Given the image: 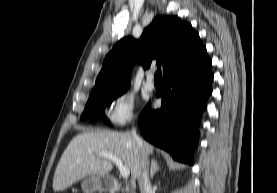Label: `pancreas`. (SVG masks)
Returning a JSON list of instances; mask_svg holds the SVG:
<instances>
[{"label": "pancreas", "instance_id": "pancreas-1", "mask_svg": "<svg viewBox=\"0 0 277 193\" xmlns=\"http://www.w3.org/2000/svg\"><path fill=\"white\" fill-rule=\"evenodd\" d=\"M124 193H135V191L132 188L126 187L125 189L122 190Z\"/></svg>", "mask_w": 277, "mask_h": 193}]
</instances>
